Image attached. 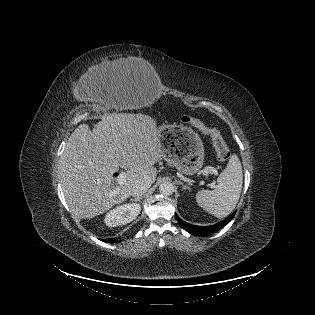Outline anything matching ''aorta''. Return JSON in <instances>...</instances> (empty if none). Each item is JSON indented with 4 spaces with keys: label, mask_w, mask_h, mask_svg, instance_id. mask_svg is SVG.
Here are the masks:
<instances>
[{
    "label": "aorta",
    "mask_w": 315,
    "mask_h": 315,
    "mask_svg": "<svg viewBox=\"0 0 315 315\" xmlns=\"http://www.w3.org/2000/svg\"><path fill=\"white\" fill-rule=\"evenodd\" d=\"M159 191L162 195L170 196L174 192V186L170 182H163L159 186Z\"/></svg>",
    "instance_id": "aorta-1"
}]
</instances>
